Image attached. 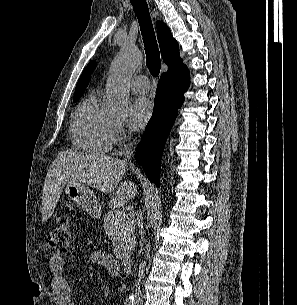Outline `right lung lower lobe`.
Here are the masks:
<instances>
[{"instance_id": "obj_1", "label": "right lung lower lobe", "mask_w": 297, "mask_h": 305, "mask_svg": "<svg viewBox=\"0 0 297 305\" xmlns=\"http://www.w3.org/2000/svg\"><path fill=\"white\" fill-rule=\"evenodd\" d=\"M190 83L189 70L163 73L158 82L154 111L142 140L137 145L135 159L140 163L150 181L159 183V168L166 139L174 123L178 108L184 102V92Z\"/></svg>"}]
</instances>
